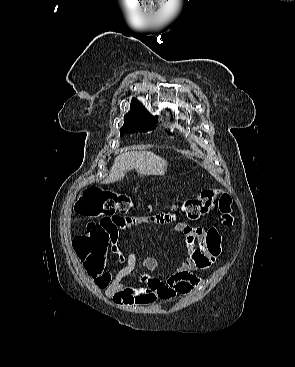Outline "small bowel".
Listing matches in <instances>:
<instances>
[{"label":"small bowel","instance_id":"small-bowel-1","mask_svg":"<svg viewBox=\"0 0 295 367\" xmlns=\"http://www.w3.org/2000/svg\"><path fill=\"white\" fill-rule=\"evenodd\" d=\"M182 217H175L170 209L154 212L153 216L140 218L115 217L100 220L107 244L114 253L119 254L117 242L121 231L138 224L168 226L176 223L175 230L185 238L188 248L186 259L165 280L155 278L152 274L158 268L154 257H145L142 261L144 272L138 278L139 286L124 283L137 265L135 254L121 255L122 267L116 272L103 271L93 276L95 285L104 290L105 296L117 306H136L154 303L157 299L171 302L179 295H185L202 284V279L194 273L198 270H208L217 261L220 254V244L212 248L209 243V232L203 227H193L182 222Z\"/></svg>","mask_w":295,"mask_h":367}]
</instances>
